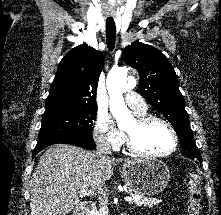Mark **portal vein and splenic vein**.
<instances>
[{"label":"portal vein and splenic vein","instance_id":"1","mask_svg":"<svg viewBox=\"0 0 221 215\" xmlns=\"http://www.w3.org/2000/svg\"><path fill=\"white\" fill-rule=\"evenodd\" d=\"M80 193L83 195H87V196H93L95 194L94 191L92 190H88L86 188H82L80 189ZM138 197L137 196H132V197H125V201H132V200H136Z\"/></svg>","mask_w":221,"mask_h":215}]
</instances>
